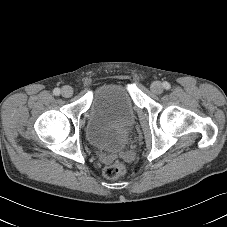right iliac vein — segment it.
I'll return each mask as SVG.
<instances>
[{"instance_id":"63e3f726","label":"right iliac vein","mask_w":227,"mask_h":227,"mask_svg":"<svg viewBox=\"0 0 227 227\" xmlns=\"http://www.w3.org/2000/svg\"><path fill=\"white\" fill-rule=\"evenodd\" d=\"M61 94L63 97L65 98H69L72 96L73 94V89L72 87L66 85V86H63L62 90H61Z\"/></svg>"}]
</instances>
